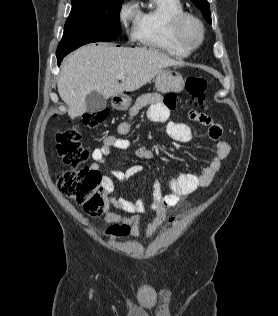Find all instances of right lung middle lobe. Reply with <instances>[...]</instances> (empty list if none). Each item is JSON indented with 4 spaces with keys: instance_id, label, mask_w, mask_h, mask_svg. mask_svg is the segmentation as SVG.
<instances>
[{
    "instance_id": "1",
    "label": "right lung middle lobe",
    "mask_w": 278,
    "mask_h": 316,
    "mask_svg": "<svg viewBox=\"0 0 278 316\" xmlns=\"http://www.w3.org/2000/svg\"><path fill=\"white\" fill-rule=\"evenodd\" d=\"M123 0H72L57 56L98 41L115 40L121 35L119 14Z\"/></svg>"
}]
</instances>
